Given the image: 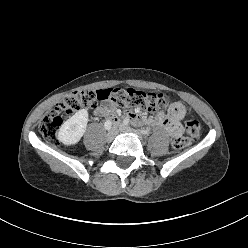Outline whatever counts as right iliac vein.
<instances>
[{
    "mask_svg": "<svg viewBox=\"0 0 248 248\" xmlns=\"http://www.w3.org/2000/svg\"><path fill=\"white\" fill-rule=\"evenodd\" d=\"M116 136V129L112 128L106 135V141L111 142Z\"/></svg>",
    "mask_w": 248,
    "mask_h": 248,
    "instance_id": "63e3f726",
    "label": "right iliac vein"
}]
</instances>
